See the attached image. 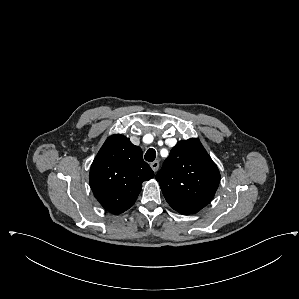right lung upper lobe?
Returning <instances> with one entry per match:
<instances>
[{
  "mask_svg": "<svg viewBox=\"0 0 299 299\" xmlns=\"http://www.w3.org/2000/svg\"><path fill=\"white\" fill-rule=\"evenodd\" d=\"M90 186L100 204L113 214L128 210L136 201L142 182L154 177L140 147L122 135L110 136L90 169Z\"/></svg>",
  "mask_w": 299,
  "mask_h": 299,
  "instance_id": "cb5924a9",
  "label": "right lung upper lobe"
}]
</instances>
